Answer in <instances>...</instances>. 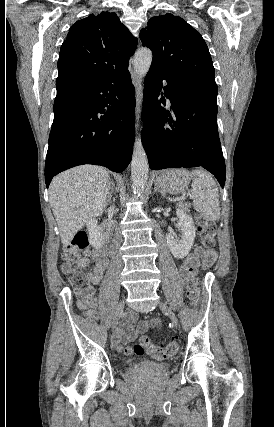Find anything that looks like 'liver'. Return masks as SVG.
<instances>
[{
  "label": "liver",
  "mask_w": 274,
  "mask_h": 427,
  "mask_svg": "<svg viewBox=\"0 0 274 427\" xmlns=\"http://www.w3.org/2000/svg\"><path fill=\"white\" fill-rule=\"evenodd\" d=\"M110 182L107 170L101 166H77L53 178L49 200L63 245H71L88 217L103 214L109 202Z\"/></svg>",
  "instance_id": "obj_1"
}]
</instances>
